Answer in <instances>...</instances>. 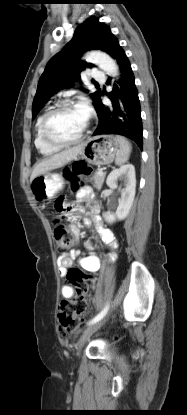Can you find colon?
Masks as SVG:
<instances>
[{
	"mask_svg": "<svg viewBox=\"0 0 187 415\" xmlns=\"http://www.w3.org/2000/svg\"><path fill=\"white\" fill-rule=\"evenodd\" d=\"M89 168L85 164L73 166L68 170L67 176L71 181L72 188L79 187L78 175L86 174ZM60 210H69L66 200H59ZM53 234L57 244V251L65 255L75 241V236L63 223L54 221ZM68 282L75 288L76 295L73 298L64 299L60 303L58 319L61 327V334L80 331L90 305V288L94 283V277L86 275L78 269H71L66 276Z\"/></svg>",
	"mask_w": 187,
	"mask_h": 415,
	"instance_id": "obj_1",
	"label": "colon"
}]
</instances>
